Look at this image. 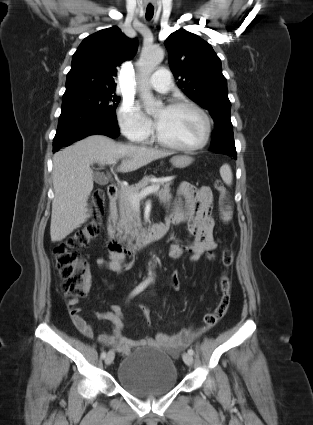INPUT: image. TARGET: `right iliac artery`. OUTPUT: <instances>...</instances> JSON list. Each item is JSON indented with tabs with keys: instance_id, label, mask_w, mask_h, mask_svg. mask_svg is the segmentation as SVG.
<instances>
[{
	"instance_id": "82829eb1",
	"label": "right iliac artery",
	"mask_w": 313,
	"mask_h": 425,
	"mask_svg": "<svg viewBox=\"0 0 313 425\" xmlns=\"http://www.w3.org/2000/svg\"><path fill=\"white\" fill-rule=\"evenodd\" d=\"M149 284V280H145L142 283H140L131 293V296H135L136 294H138L139 292L143 291V289H145L147 287V285ZM106 357V352L103 351L101 353V358H105Z\"/></svg>"
}]
</instances>
